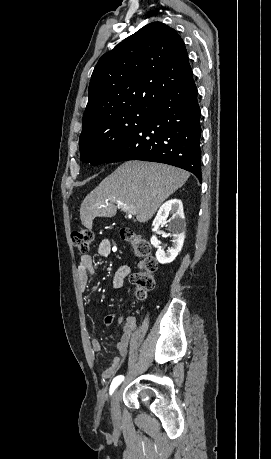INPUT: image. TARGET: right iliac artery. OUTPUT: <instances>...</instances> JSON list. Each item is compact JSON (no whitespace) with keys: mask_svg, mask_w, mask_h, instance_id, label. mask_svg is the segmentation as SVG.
Returning a JSON list of instances; mask_svg holds the SVG:
<instances>
[{"mask_svg":"<svg viewBox=\"0 0 271 459\" xmlns=\"http://www.w3.org/2000/svg\"><path fill=\"white\" fill-rule=\"evenodd\" d=\"M124 380V376L119 375L115 377L110 385V394L114 392V390L120 385V383Z\"/></svg>","mask_w":271,"mask_h":459,"instance_id":"82829eb1","label":"right iliac artery"}]
</instances>
